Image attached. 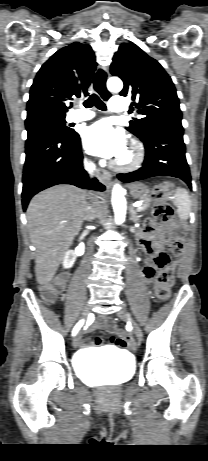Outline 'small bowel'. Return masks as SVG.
<instances>
[{
    "label": "small bowel",
    "instance_id": "1",
    "mask_svg": "<svg viewBox=\"0 0 208 461\" xmlns=\"http://www.w3.org/2000/svg\"><path fill=\"white\" fill-rule=\"evenodd\" d=\"M174 233L177 236L182 234L180 229L176 230L175 225H158L156 226L154 221L148 220L145 224L144 232L138 236V243L145 250V252L153 258V261L148 262L143 268L142 274L146 282H150L155 274L156 266L154 265V258L162 253L164 245H168L174 240ZM59 280L65 281L67 274H61L58 277ZM92 328H102L107 331H113V322L110 319H103ZM108 348L110 351L121 354L124 348L120 346L121 340L119 336H108L107 337ZM82 347L89 345H100L101 339H89L85 338L81 342Z\"/></svg>",
    "mask_w": 208,
    "mask_h": 461
}]
</instances>
